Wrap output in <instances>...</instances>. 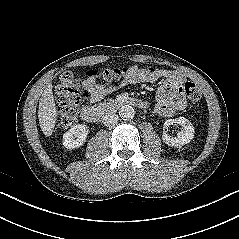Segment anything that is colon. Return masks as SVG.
Here are the masks:
<instances>
[{
	"label": "colon",
	"instance_id": "obj_1",
	"mask_svg": "<svg viewBox=\"0 0 239 239\" xmlns=\"http://www.w3.org/2000/svg\"><path fill=\"white\" fill-rule=\"evenodd\" d=\"M106 84L120 81L130 75L127 68H110L95 72ZM181 89L186 93L189 101L197 104L201 100L199 88L191 82L185 83ZM56 96L59 102V120L63 128H68L76 123L81 91L79 80L71 72H65L60 77V83L56 87Z\"/></svg>",
	"mask_w": 239,
	"mask_h": 239
}]
</instances>
